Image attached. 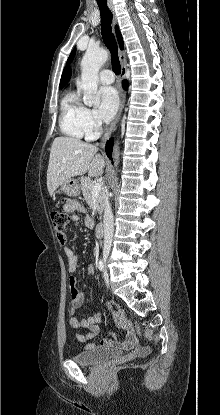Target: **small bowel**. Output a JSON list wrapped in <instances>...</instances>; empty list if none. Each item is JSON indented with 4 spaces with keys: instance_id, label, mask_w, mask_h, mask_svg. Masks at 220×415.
Instances as JSON below:
<instances>
[{
    "instance_id": "obj_1",
    "label": "small bowel",
    "mask_w": 220,
    "mask_h": 415,
    "mask_svg": "<svg viewBox=\"0 0 220 415\" xmlns=\"http://www.w3.org/2000/svg\"><path fill=\"white\" fill-rule=\"evenodd\" d=\"M65 209L72 214V220L78 221L80 219L79 215L83 208L82 206L77 202H71L67 205H65ZM84 224L87 227H92L94 225V222L91 218L85 217L83 219ZM58 241L64 245V251L65 255L67 257L68 262V271L71 274L70 281H69V288H70V319L69 324L71 328L73 329H86L87 333H81L78 332L76 334V338L80 342L86 343L87 348L95 347V344L91 342L90 340L95 338L99 334V323L101 321V315L99 312L91 315L88 318L79 319L75 317V313L77 310L81 307L83 302V296L81 291L79 290L77 286L76 279L74 278V274L78 271L79 268V258L74 251L72 247L68 245V237L65 232L62 234H57ZM88 274L93 275L94 274V267L91 265L88 267ZM118 318V316H116ZM119 324L126 329L127 336L124 340H103L101 342V347L113 350V351H119L122 349H129L133 347L135 339L131 331L128 329L127 324L124 321H119Z\"/></svg>"
}]
</instances>
